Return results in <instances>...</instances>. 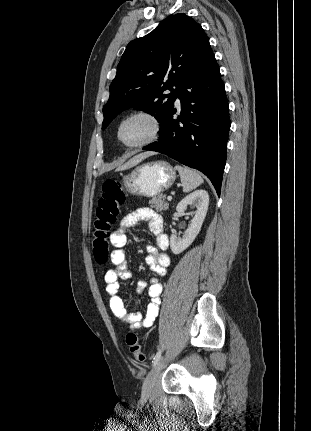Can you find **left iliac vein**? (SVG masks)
<instances>
[{"label": "left iliac vein", "mask_w": 311, "mask_h": 431, "mask_svg": "<svg viewBox=\"0 0 311 431\" xmlns=\"http://www.w3.org/2000/svg\"><path fill=\"white\" fill-rule=\"evenodd\" d=\"M166 360V356H163L159 359V361L157 362V364L153 367V369L151 370V372L149 373V375L147 376L144 384H143V397L144 398H148L152 391L153 388L155 386V383L157 381V378L163 368L164 362Z\"/></svg>", "instance_id": "1"}]
</instances>
